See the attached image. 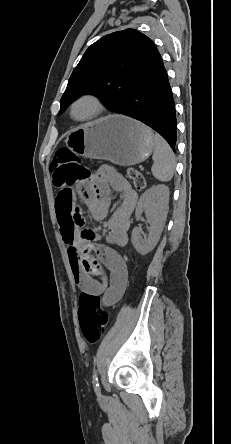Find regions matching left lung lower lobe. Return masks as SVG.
I'll return each instance as SVG.
<instances>
[{"label":"left lung lower lobe","mask_w":231,"mask_h":444,"mask_svg":"<svg viewBox=\"0 0 231 444\" xmlns=\"http://www.w3.org/2000/svg\"><path fill=\"white\" fill-rule=\"evenodd\" d=\"M120 114L137 119L176 147V114L168 75L160 54L146 67Z\"/></svg>","instance_id":"1"}]
</instances>
